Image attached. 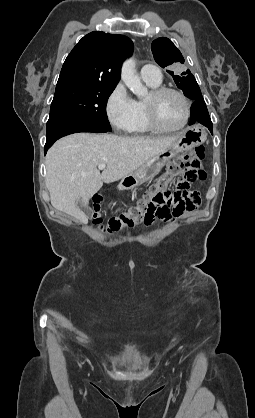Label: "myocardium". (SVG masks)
Wrapping results in <instances>:
<instances>
[{
  "label": "myocardium",
  "instance_id": "myocardium-1",
  "mask_svg": "<svg viewBox=\"0 0 255 418\" xmlns=\"http://www.w3.org/2000/svg\"><path fill=\"white\" fill-rule=\"evenodd\" d=\"M168 93H173L179 96L185 105V117L183 122L173 128H168L160 123L158 117V101L161 97ZM147 120L150 127L160 133H174L182 130L189 122L191 117V103L188 97L180 90L172 87H159L153 89L150 93V99L145 101Z\"/></svg>",
  "mask_w": 255,
  "mask_h": 418
}]
</instances>
